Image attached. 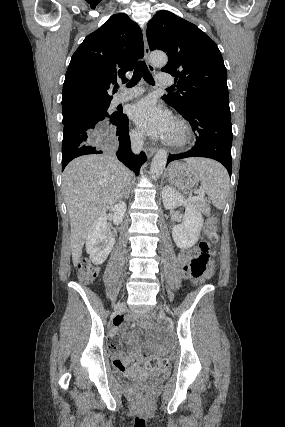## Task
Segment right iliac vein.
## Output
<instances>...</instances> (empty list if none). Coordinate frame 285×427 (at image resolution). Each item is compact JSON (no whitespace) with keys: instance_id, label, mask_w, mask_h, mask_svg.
Masks as SVG:
<instances>
[{"instance_id":"right-iliac-vein-1","label":"right iliac vein","mask_w":285,"mask_h":427,"mask_svg":"<svg viewBox=\"0 0 285 427\" xmlns=\"http://www.w3.org/2000/svg\"><path fill=\"white\" fill-rule=\"evenodd\" d=\"M124 307H125L124 303L120 304V306H119L120 309H123Z\"/></svg>"}]
</instances>
